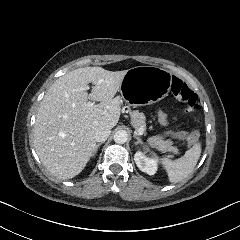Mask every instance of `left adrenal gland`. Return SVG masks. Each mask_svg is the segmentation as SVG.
Segmentation results:
<instances>
[{
	"instance_id": "left-adrenal-gland-1",
	"label": "left adrenal gland",
	"mask_w": 240,
	"mask_h": 240,
	"mask_svg": "<svg viewBox=\"0 0 240 240\" xmlns=\"http://www.w3.org/2000/svg\"><path fill=\"white\" fill-rule=\"evenodd\" d=\"M133 137L137 140L135 142L136 145L137 144H142V145L144 144L143 141L141 140V138L138 135L134 134Z\"/></svg>"
}]
</instances>
